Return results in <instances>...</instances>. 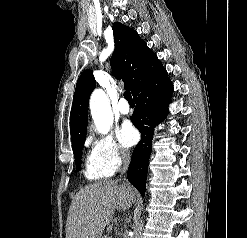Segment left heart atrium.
I'll use <instances>...</instances> for the list:
<instances>
[{"label":"left heart atrium","instance_id":"obj_1","mask_svg":"<svg viewBox=\"0 0 247 238\" xmlns=\"http://www.w3.org/2000/svg\"><path fill=\"white\" fill-rule=\"evenodd\" d=\"M118 138L124 146L130 147L137 142L138 133L131 123L125 122L118 131Z\"/></svg>","mask_w":247,"mask_h":238}]
</instances>
